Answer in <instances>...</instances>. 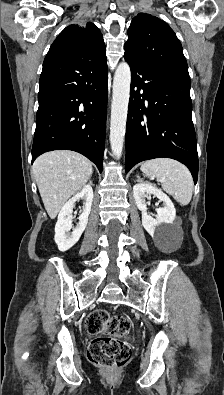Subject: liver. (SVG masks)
<instances>
[{
  "label": "liver",
  "mask_w": 224,
  "mask_h": 395,
  "mask_svg": "<svg viewBox=\"0 0 224 395\" xmlns=\"http://www.w3.org/2000/svg\"><path fill=\"white\" fill-rule=\"evenodd\" d=\"M32 171L44 207L54 219L66 201L86 185L93 168L91 161L83 155L57 150L39 156Z\"/></svg>",
  "instance_id": "obj_1"
}]
</instances>
